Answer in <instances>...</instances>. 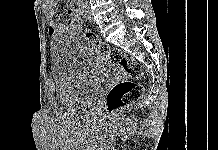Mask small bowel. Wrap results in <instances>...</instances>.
Returning <instances> with one entry per match:
<instances>
[{
  "instance_id": "c3829d8e",
  "label": "small bowel",
  "mask_w": 218,
  "mask_h": 150,
  "mask_svg": "<svg viewBox=\"0 0 218 150\" xmlns=\"http://www.w3.org/2000/svg\"><path fill=\"white\" fill-rule=\"evenodd\" d=\"M42 9L44 15L50 20L48 26V32L50 35L54 36L57 34L66 33L69 31L68 25L66 23H57L53 21L55 15V9L58 0H42ZM75 0H68L67 11L68 13H73L75 11Z\"/></svg>"
}]
</instances>
